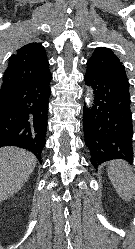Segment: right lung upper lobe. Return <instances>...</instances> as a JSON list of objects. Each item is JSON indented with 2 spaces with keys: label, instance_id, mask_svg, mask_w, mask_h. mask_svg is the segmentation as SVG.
<instances>
[{
  "label": "right lung upper lobe",
  "instance_id": "1",
  "mask_svg": "<svg viewBox=\"0 0 135 249\" xmlns=\"http://www.w3.org/2000/svg\"><path fill=\"white\" fill-rule=\"evenodd\" d=\"M50 75L49 62L41 43H29L9 58L2 85L31 81Z\"/></svg>",
  "mask_w": 135,
  "mask_h": 249
}]
</instances>
